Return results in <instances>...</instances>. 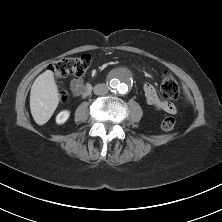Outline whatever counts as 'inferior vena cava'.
<instances>
[{
	"mask_svg": "<svg viewBox=\"0 0 222 222\" xmlns=\"http://www.w3.org/2000/svg\"><path fill=\"white\" fill-rule=\"evenodd\" d=\"M93 90L96 95H106L109 92V87L108 85L101 83L97 84Z\"/></svg>",
	"mask_w": 222,
	"mask_h": 222,
	"instance_id": "1",
	"label": "inferior vena cava"
}]
</instances>
